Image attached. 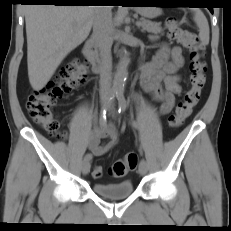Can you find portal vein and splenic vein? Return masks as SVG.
I'll list each match as a JSON object with an SVG mask.
<instances>
[{"label":"portal vein and splenic vein","instance_id":"portal-vein-and-splenic-vein-1","mask_svg":"<svg viewBox=\"0 0 231 231\" xmlns=\"http://www.w3.org/2000/svg\"><path fill=\"white\" fill-rule=\"evenodd\" d=\"M136 24H137V26H141V22H137Z\"/></svg>","mask_w":231,"mask_h":231}]
</instances>
